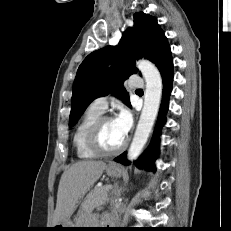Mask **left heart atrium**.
I'll return each instance as SVG.
<instances>
[{"label": "left heart atrium", "mask_w": 231, "mask_h": 231, "mask_svg": "<svg viewBox=\"0 0 231 231\" xmlns=\"http://www.w3.org/2000/svg\"><path fill=\"white\" fill-rule=\"evenodd\" d=\"M114 122L119 132L126 138L132 127V116L126 109H121L118 115L114 118Z\"/></svg>", "instance_id": "left-heart-atrium-1"}]
</instances>
